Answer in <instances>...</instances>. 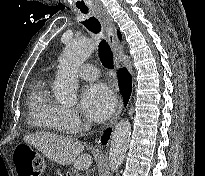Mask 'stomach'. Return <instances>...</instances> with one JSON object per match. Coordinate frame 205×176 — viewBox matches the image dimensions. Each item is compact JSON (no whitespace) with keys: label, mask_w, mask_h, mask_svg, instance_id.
I'll use <instances>...</instances> for the list:
<instances>
[{"label":"stomach","mask_w":205,"mask_h":176,"mask_svg":"<svg viewBox=\"0 0 205 176\" xmlns=\"http://www.w3.org/2000/svg\"><path fill=\"white\" fill-rule=\"evenodd\" d=\"M26 147H23V148H28L29 150H31L32 152H35L34 151V149L31 147V146H29V145H26V144H24Z\"/></svg>","instance_id":"1"}]
</instances>
